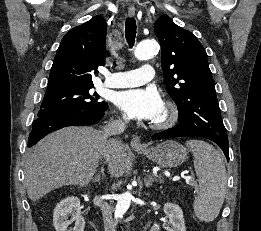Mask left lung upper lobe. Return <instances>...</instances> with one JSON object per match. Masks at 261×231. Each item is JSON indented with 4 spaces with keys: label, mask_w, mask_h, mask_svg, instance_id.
Wrapping results in <instances>:
<instances>
[{
    "label": "left lung upper lobe",
    "mask_w": 261,
    "mask_h": 231,
    "mask_svg": "<svg viewBox=\"0 0 261 231\" xmlns=\"http://www.w3.org/2000/svg\"><path fill=\"white\" fill-rule=\"evenodd\" d=\"M154 29L161 44L164 84L178 106V121L211 138L228 139L201 43L167 15L156 21Z\"/></svg>",
    "instance_id": "5c2ea615"
}]
</instances>
